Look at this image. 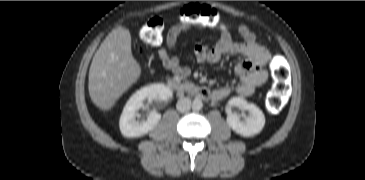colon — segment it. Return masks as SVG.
Segmentation results:
<instances>
[{"label": "colon", "mask_w": 365, "mask_h": 180, "mask_svg": "<svg viewBox=\"0 0 365 180\" xmlns=\"http://www.w3.org/2000/svg\"><path fill=\"white\" fill-rule=\"evenodd\" d=\"M183 23L194 26H203L222 29L218 13L207 5L189 4L180 12ZM165 23L159 16L148 19L140 30L141 40L151 46L162 43ZM274 83L267 94L266 102L272 113L280 112L285 105L287 90L288 68L285 58L277 56L271 63Z\"/></svg>", "instance_id": "1"}]
</instances>
